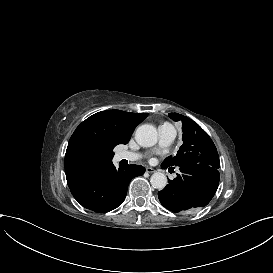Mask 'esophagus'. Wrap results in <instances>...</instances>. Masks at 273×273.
<instances>
[{"mask_svg": "<svg viewBox=\"0 0 273 273\" xmlns=\"http://www.w3.org/2000/svg\"><path fill=\"white\" fill-rule=\"evenodd\" d=\"M146 172L147 173H154L155 172V169L151 168V167H147L146 168Z\"/></svg>", "mask_w": 273, "mask_h": 273, "instance_id": "34e87169", "label": "esophagus"}]
</instances>
